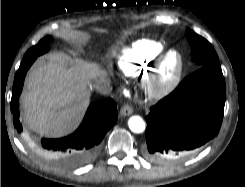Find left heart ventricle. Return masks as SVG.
Here are the masks:
<instances>
[{"mask_svg":"<svg viewBox=\"0 0 245 187\" xmlns=\"http://www.w3.org/2000/svg\"><path fill=\"white\" fill-rule=\"evenodd\" d=\"M176 62L177 60L175 54H171L170 56H168L163 68V78L166 79L171 75L172 71L176 66Z\"/></svg>","mask_w":245,"mask_h":187,"instance_id":"1","label":"left heart ventricle"}]
</instances>
